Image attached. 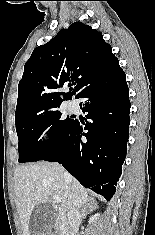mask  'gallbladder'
Listing matches in <instances>:
<instances>
[{
    "mask_svg": "<svg viewBox=\"0 0 155 235\" xmlns=\"http://www.w3.org/2000/svg\"><path fill=\"white\" fill-rule=\"evenodd\" d=\"M57 217V208L51 203H40L30 217L31 235H50Z\"/></svg>",
    "mask_w": 155,
    "mask_h": 235,
    "instance_id": "1",
    "label": "gallbladder"
}]
</instances>
